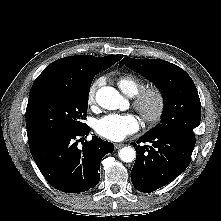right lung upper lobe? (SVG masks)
<instances>
[{
    "label": "right lung upper lobe",
    "mask_w": 221,
    "mask_h": 221,
    "mask_svg": "<svg viewBox=\"0 0 221 221\" xmlns=\"http://www.w3.org/2000/svg\"><path fill=\"white\" fill-rule=\"evenodd\" d=\"M122 56L110 55L95 57L91 55L69 56L54 61L37 77L36 81L53 79L57 81L81 84L90 79L100 67L113 65Z\"/></svg>",
    "instance_id": "obj_1"
}]
</instances>
